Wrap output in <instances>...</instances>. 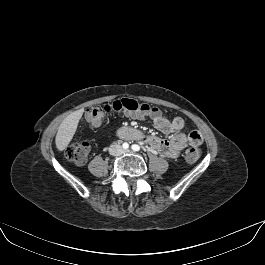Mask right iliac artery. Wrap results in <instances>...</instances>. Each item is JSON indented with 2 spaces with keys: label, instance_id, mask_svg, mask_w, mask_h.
I'll use <instances>...</instances> for the list:
<instances>
[{
  "label": "right iliac artery",
  "instance_id": "1",
  "mask_svg": "<svg viewBox=\"0 0 265 265\" xmlns=\"http://www.w3.org/2000/svg\"><path fill=\"white\" fill-rule=\"evenodd\" d=\"M128 147H129V144H128V143H124V144H123V148H124V149H127Z\"/></svg>",
  "mask_w": 265,
  "mask_h": 265
}]
</instances>
